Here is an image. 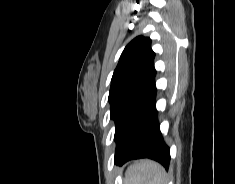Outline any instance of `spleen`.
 <instances>
[{"mask_svg":"<svg viewBox=\"0 0 235 184\" xmlns=\"http://www.w3.org/2000/svg\"><path fill=\"white\" fill-rule=\"evenodd\" d=\"M124 184H168V176L157 162L141 160L140 164L127 168Z\"/></svg>","mask_w":235,"mask_h":184,"instance_id":"1","label":"spleen"}]
</instances>
